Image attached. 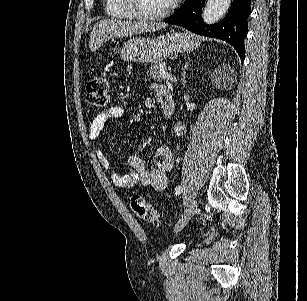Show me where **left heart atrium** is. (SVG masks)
<instances>
[{
  "instance_id": "left-heart-atrium-1",
  "label": "left heart atrium",
  "mask_w": 307,
  "mask_h": 301,
  "mask_svg": "<svg viewBox=\"0 0 307 301\" xmlns=\"http://www.w3.org/2000/svg\"><path fill=\"white\" fill-rule=\"evenodd\" d=\"M182 0H168L169 4H181Z\"/></svg>"
}]
</instances>
